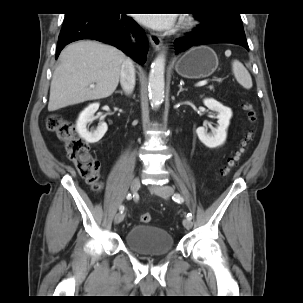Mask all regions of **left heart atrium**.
Returning a JSON list of instances; mask_svg holds the SVG:
<instances>
[{
    "mask_svg": "<svg viewBox=\"0 0 303 303\" xmlns=\"http://www.w3.org/2000/svg\"><path fill=\"white\" fill-rule=\"evenodd\" d=\"M176 14H159L150 16V14H138L137 20L153 29H167L171 28L176 22Z\"/></svg>",
    "mask_w": 303,
    "mask_h": 303,
    "instance_id": "39dd6f15",
    "label": "left heart atrium"
}]
</instances>
